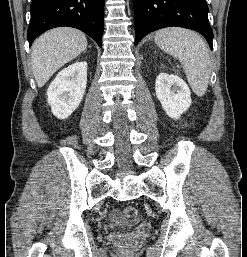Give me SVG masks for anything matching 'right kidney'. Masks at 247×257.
<instances>
[{
    "mask_svg": "<svg viewBox=\"0 0 247 257\" xmlns=\"http://www.w3.org/2000/svg\"><path fill=\"white\" fill-rule=\"evenodd\" d=\"M87 84V62H76L62 69L47 90V102L54 116L66 119L79 106Z\"/></svg>",
    "mask_w": 247,
    "mask_h": 257,
    "instance_id": "ca27d5eb",
    "label": "right kidney"
}]
</instances>
